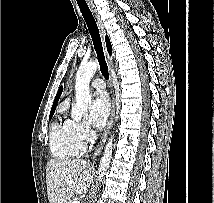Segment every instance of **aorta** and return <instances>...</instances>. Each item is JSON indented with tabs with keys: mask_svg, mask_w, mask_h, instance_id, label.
<instances>
[{
	"mask_svg": "<svg viewBox=\"0 0 214 203\" xmlns=\"http://www.w3.org/2000/svg\"><path fill=\"white\" fill-rule=\"evenodd\" d=\"M99 63L90 61L82 63L76 74L75 90H76V105L72 108L71 117L78 121L84 114L87 113L88 104L91 102V93L89 84L97 71ZM113 137L108 139L104 149L103 156L100 159L98 168V181L101 183L107 173L112 157Z\"/></svg>",
	"mask_w": 214,
	"mask_h": 203,
	"instance_id": "obj_1",
	"label": "aorta"
}]
</instances>
